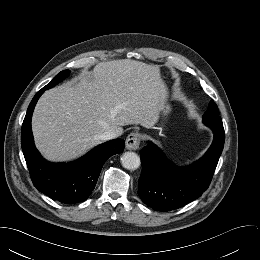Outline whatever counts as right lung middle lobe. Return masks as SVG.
<instances>
[{"instance_id": "dd1d6c3e", "label": "right lung middle lobe", "mask_w": 260, "mask_h": 260, "mask_svg": "<svg viewBox=\"0 0 260 260\" xmlns=\"http://www.w3.org/2000/svg\"><path fill=\"white\" fill-rule=\"evenodd\" d=\"M69 72H70L69 70L61 71L44 88L47 90V89L57 85L61 80H63L69 74Z\"/></svg>"}]
</instances>
